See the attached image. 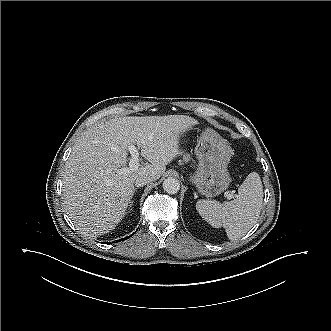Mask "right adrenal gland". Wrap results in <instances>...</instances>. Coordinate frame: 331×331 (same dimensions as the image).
<instances>
[{"label": "right adrenal gland", "instance_id": "2a0ac1e0", "mask_svg": "<svg viewBox=\"0 0 331 331\" xmlns=\"http://www.w3.org/2000/svg\"><path fill=\"white\" fill-rule=\"evenodd\" d=\"M135 191H136V189H134V191H133V195H134ZM133 195H132V196H133ZM133 202H134V199L130 202V203H131V204L129 205L130 207L133 205Z\"/></svg>", "mask_w": 331, "mask_h": 331}]
</instances>
